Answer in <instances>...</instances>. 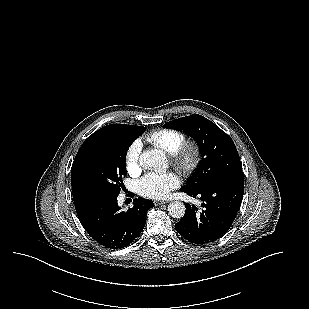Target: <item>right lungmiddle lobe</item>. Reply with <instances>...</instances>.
Segmentation results:
<instances>
[{
  "mask_svg": "<svg viewBox=\"0 0 309 309\" xmlns=\"http://www.w3.org/2000/svg\"><path fill=\"white\" fill-rule=\"evenodd\" d=\"M142 126L121 124L89 146L80 164L84 192L90 197L118 196L127 170L125 159L132 142L145 132Z\"/></svg>",
  "mask_w": 309,
  "mask_h": 309,
  "instance_id": "right-lung-middle-lobe-1",
  "label": "right lung middle lobe"
}]
</instances>
